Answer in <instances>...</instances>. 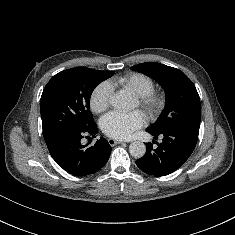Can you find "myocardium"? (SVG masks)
I'll use <instances>...</instances> for the list:
<instances>
[{
  "instance_id": "1",
  "label": "myocardium",
  "mask_w": 235,
  "mask_h": 235,
  "mask_svg": "<svg viewBox=\"0 0 235 235\" xmlns=\"http://www.w3.org/2000/svg\"><path fill=\"white\" fill-rule=\"evenodd\" d=\"M138 105L150 116H159L166 106V97L163 93L151 91L137 96Z\"/></svg>"
}]
</instances>
